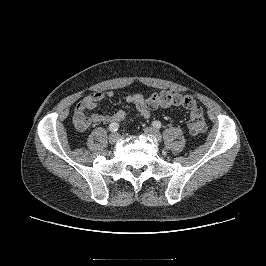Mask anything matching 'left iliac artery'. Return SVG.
<instances>
[{"label": "left iliac artery", "mask_w": 266, "mask_h": 266, "mask_svg": "<svg viewBox=\"0 0 266 266\" xmlns=\"http://www.w3.org/2000/svg\"><path fill=\"white\" fill-rule=\"evenodd\" d=\"M152 125L155 127V128H160L161 127V122L160 121H153L152 122Z\"/></svg>", "instance_id": "1"}]
</instances>
